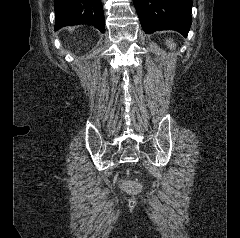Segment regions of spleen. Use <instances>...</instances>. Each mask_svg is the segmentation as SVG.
<instances>
[{"instance_id": "obj_1", "label": "spleen", "mask_w": 240, "mask_h": 238, "mask_svg": "<svg viewBox=\"0 0 240 238\" xmlns=\"http://www.w3.org/2000/svg\"><path fill=\"white\" fill-rule=\"evenodd\" d=\"M168 46L170 47V49L174 48L175 47V44L172 43V41H168Z\"/></svg>"}]
</instances>
